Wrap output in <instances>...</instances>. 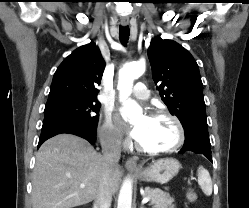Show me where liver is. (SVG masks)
<instances>
[{
	"label": "liver",
	"mask_w": 249,
	"mask_h": 208,
	"mask_svg": "<svg viewBox=\"0 0 249 208\" xmlns=\"http://www.w3.org/2000/svg\"><path fill=\"white\" fill-rule=\"evenodd\" d=\"M122 172L110 176L112 194L119 188ZM85 187L81 188L80 185ZM103 185V160L85 139L59 134L48 139L36 153L32 179V208H72L97 198Z\"/></svg>",
	"instance_id": "1"
}]
</instances>
